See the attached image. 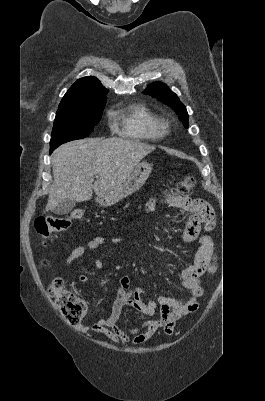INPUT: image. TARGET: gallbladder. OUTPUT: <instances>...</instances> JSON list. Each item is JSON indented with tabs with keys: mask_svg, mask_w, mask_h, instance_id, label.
Masks as SVG:
<instances>
[{
	"mask_svg": "<svg viewBox=\"0 0 265 401\" xmlns=\"http://www.w3.org/2000/svg\"><path fill=\"white\" fill-rule=\"evenodd\" d=\"M75 205L76 201H70V198H65V201L59 203V205L53 209L52 213H55V215H67V213H70V211L74 209Z\"/></svg>",
	"mask_w": 265,
	"mask_h": 401,
	"instance_id": "gallbladder-1",
	"label": "gallbladder"
}]
</instances>
